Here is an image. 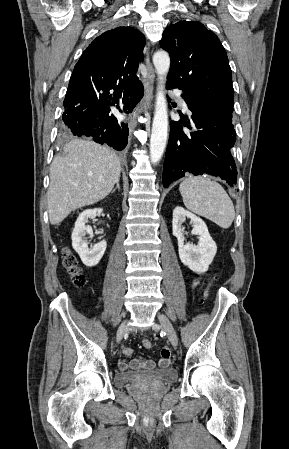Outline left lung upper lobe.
I'll list each match as a JSON object with an SVG mask.
<instances>
[{"instance_id":"1","label":"left lung upper lobe","mask_w":289,"mask_h":449,"mask_svg":"<svg viewBox=\"0 0 289 449\" xmlns=\"http://www.w3.org/2000/svg\"><path fill=\"white\" fill-rule=\"evenodd\" d=\"M160 46L171 58L168 81L192 91L210 111L232 119V73L218 37L200 22L180 21L165 29Z\"/></svg>"}]
</instances>
